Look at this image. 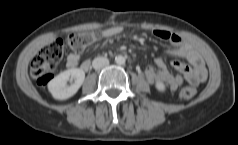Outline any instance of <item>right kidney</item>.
Wrapping results in <instances>:
<instances>
[{"instance_id": "ca27d5eb", "label": "right kidney", "mask_w": 238, "mask_h": 145, "mask_svg": "<svg viewBox=\"0 0 238 145\" xmlns=\"http://www.w3.org/2000/svg\"><path fill=\"white\" fill-rule=\"evenodd\" d=\"M85 79V72L78 68L65 70L54 77L48 83V90L53 98L58 100H65L79 90ZM70 81V85L67 82Z\"/></svg>"}]
</instances>
